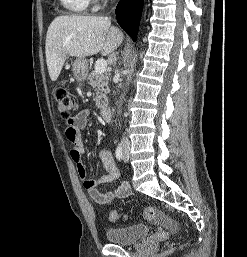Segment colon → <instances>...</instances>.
Listing matches in <instances>:
<instances>
[{
    "mask_svg": "<svg viewBox=\"0 0 247 257\" xmlns=\"http://www.w3.org/2000/svg\"><path fill=\"white\" fill-rule=\"evenodd\" d=\"M57 108L60 117L69 123L72 119V114L78 110L79 103L74 94L65 88H58L55 92ZM142 216L146 220H155V211L152 208H146L142 212ZM122 215L117 210L109 212V220L113 223L118 222Z\"/></svg>",
    "mask_w": 247,
    "mask_h": 257,
    "instance_id": "1",
    "label": "colon"
}]
</instances>
